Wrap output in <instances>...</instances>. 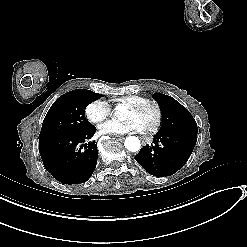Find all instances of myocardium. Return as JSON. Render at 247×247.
I'll use <instances>...</instances> for the list:
<instances>
[{"label":"myocardium","mask_w":247,"mask_h":247,"mask_svg":"<svg viewBox=\"0 0 247 247\" xmlns=\"http://www.w3.org/2000/svg\"><path fill=\"white\" fill-rule=\"evenodd\" d=\"M147 105H152L155 108V112H156L155 123L153 127L146 133L147 135L151 136L159 131L162 124L163 110L160 102L157 99H153V98H143L139 102L135 104L127 105L126 107L132 109L133 111H140Z\"/></svg>","instance_id":"myocardium-1"}]
</instances>
